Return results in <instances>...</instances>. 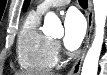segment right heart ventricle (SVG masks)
<instances>
[{"label":"right heart ventricle","instance_id":"1","mask_svg":"<svg viewBox=\"0 0 107 75\" xmlns=\"http://www.w3.org/2000/svg\"><path fill=\"white\" fill-rule=\"evenodd\" d=\"M40 13L25 18L17 43L18 63L24 70L48 72L57 64L54 42L39 30Z\"/></svg>","mask_w":107,"mask_h":75}]
</instances>
